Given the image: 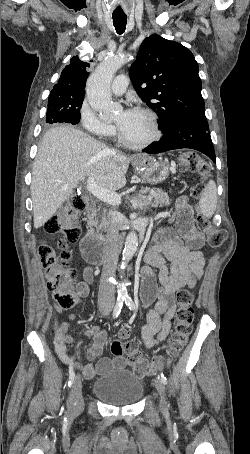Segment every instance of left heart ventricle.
<instances>
[{"mask_svg":"<svg viewBox=\"0 0 250 454\" xmlns=\"http://www.w3.org/2000/svg\"><path fill=\"white\" fill-rule=\"evenodd\" d=\"M123 136L130 142L140 143L152 135V125L149 118L138 111L126 115L120 112L116 118Z\"/></svg>","mask_w":250,"mask_h":454,"instance_id":"left-heart-ventricle-1","label":"left heart ventricle"}]
</instances>
